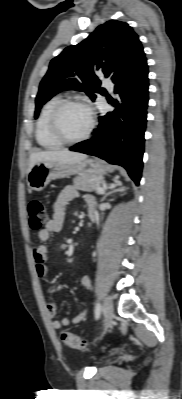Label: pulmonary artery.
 <instances>
[{
    "instance_id": "pulmonary-artery-1",
    "label": "pulmonary artery",
    "mask_w": 182,
    "mask_h": 399,
    "mask_svg": "<svg viewBox=\"0 0 182 399\" xmlns=\"http://www.w3.org/2000/svg\"><path fill=\"white\" fill-rule=\"evenodd\" d=\"M103 85L108 90H113V88H114L113 82L111 80H108V79L103 82Z\"/></svg>"
}]
</instances>
